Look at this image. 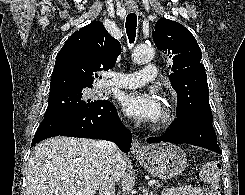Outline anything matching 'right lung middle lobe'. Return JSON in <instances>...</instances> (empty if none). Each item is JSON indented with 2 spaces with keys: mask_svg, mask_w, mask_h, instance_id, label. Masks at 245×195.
Wrapping results in <instances>:
<instances>
[{
  "mask_svg": "<svg viewBox=\"0 0 245 195\" xmlns=\"http://www.w3.org/2000/svg\"><path fill=\"white\" fill-rule=\"evenodd\" d=\"M92 87H73L50 93L44 118L69 109L93 105L99 100L88 97L87 90Z\"/></svg>",
  "mask_w": 245,
  "mask_h": 195,
  "instance_id": "right-lung-middle-lobe-1",
  "label": "right lung middle lobe"
}]
</instances>
